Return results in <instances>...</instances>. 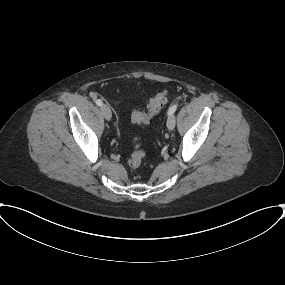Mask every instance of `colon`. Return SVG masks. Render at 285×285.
I'll use <instances>...</instances> for the list:
<instances>
[{
  "instance_id": "1",
  "label": "colon",
  "mask_w": 285,
  "mask_h": 285,
  "mask_svg": "<svg viewBox=\"0 0 285 285\" xmlns=\"http://www.w3.org/2000/svg\"><path fill=\"white\" fill-rule=\"evenodd\" d=\"M168 92L161 91L155 94L147 105L146 112L134 111L131 115V120L135 124H147L155 115H157L163 106L167 103ZM145 157V153L139 143H136L133 152L128 160V164L132 169H137L141 166Z\"/></svg>"
}]
</instances>
